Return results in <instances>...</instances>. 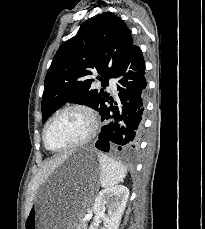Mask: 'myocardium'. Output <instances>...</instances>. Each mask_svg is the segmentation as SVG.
<instances>
[{
    "instance_id": "myocardium-1",
    "label": "myocardium",
    "mask_w": 205,
    "mask_h": 229,
    "mask_svg": "<svg viewBox=\"0 0 205 229\" xmlns=\"http://www.w3.org/2000/svg\"><path fill=\"white\" fill-rule=\"evenodd\" d=\"M67 111H78V112L83 113L87 117V119L89 121L88 132L86 133V135L82 139H80V140H78V141H76V142H74L72 144H69V145L61 147V148H52V147L49 146L48 141H47L48 130H49L50 126L52 125V123L55 121V119L58 116H60L61 114L67 112ZM97 128H98V120H97V117H96L95 113L93 112V110L91 108H89L86 105L78 104V103L68 104V105L60 108L49 119V121L45 125L44 130H43V143H44L45 148L47 150L51 151V152L67 151V150H70V149H74V148L83 146L86 143H88L95 136Z\"/></svg>"
}]
</instances>
